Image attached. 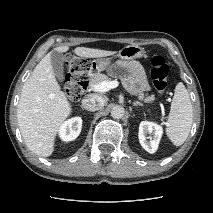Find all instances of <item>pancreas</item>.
I'll use <instances>...</instances> for the list:
<instances>
[{
	"mask_svg": "<svg viewBox=\"0 0 213 213\" xmlns=\"http://www.w3.org/2000/svg\"><path fill=\"white\" fill-rule=\"evenodd\" d=\"M103 81H110V78H108L105 74H95L93 76H91L90 78V86L91 88H93L94 85L103 82ZM138 99L143 101L144 103H152L155 100V96L154 95H144V94H139L138 95Z\"/></svg>",
	"mask_w": 213,
	"mask_h": 213,
	"instance_id": "cf45deb5",
	"label": "pancreas"
}]
</instances>
